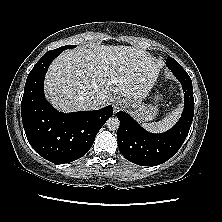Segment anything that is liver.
Returning a JSON list of instances; mask_svg holds the SVG:
<instances>
[{
  "label": "liver",
  "instance_id": "6515ba94",
  "mask_svg": "<svg viewBox=\"0 0 222 222\" xmlns=\"http://www.w3.org/2000/svg\"><path fill=\"white\" fill-rule=\"evenodd\" d=\"M162 66L136 47L93 44L62 52L46 74L45 92L62 112L86 110L83 99L87 96L98 98L100 108L117 94L142 101Z\"/></svg>",
  "mask_w": 222,
  "mask_h": 222
}]
</instances>
